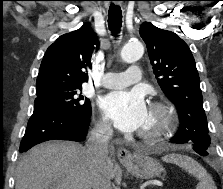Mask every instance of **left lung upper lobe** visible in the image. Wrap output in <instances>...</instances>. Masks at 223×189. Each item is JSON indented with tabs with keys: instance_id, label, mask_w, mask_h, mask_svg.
<instances>
[{
	"instance_id": "1",
	"label": "left lung upper lobe",
	"mask_w": 223,
	"mask_h": 189,
	"mask_svg": "<svg viewBox=\"0 0 223 189\" xmlns=\"http://www.w3.org/2000/svg\"><path fill=\"white\" fill-rule=\"evenodd\" d=\"M140 35L146 43L153 72L180 118L179 132L171 139L208 150L210 137L195 60L188 45L174 32L144 22Z\"/></svg>"
}]
</instances>
